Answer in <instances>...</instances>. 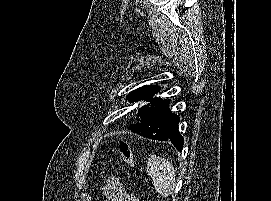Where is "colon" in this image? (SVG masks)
Listing matches in <instances>:
<instances>
[{"label": "colon", "mask_w": 271, "mask_h": 201, "mask_svg": "<svg viewBox=\"0 0 271 201\" xmlns=\"http://www.w3.org/2000/svg\"><path fill=\"white\" fill-rule=\"evenodd\" d=\"M119 154L123 162L129 167H134V155L131 146L126 142H121L118 147ZM132 201H136L133 199Z\"/></svg>", "instance_id": "1"}]
</instances>
